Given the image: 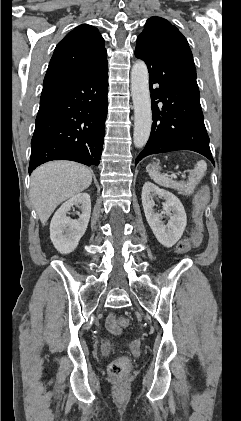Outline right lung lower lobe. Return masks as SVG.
I'll return each instance as SVG.
<instances>
[{
	"label": "right lung lower lobe",
	"instance_id": "right-lung-lower-lobe-1",
	"mask_svg": "<svg viewBox=\"0 0 241 421\" xmlns=\"http://www.w3.org/2000/svg\"><path fill=\"white\" fill-rule=\"evenodd\" d=\"M107 61L43 86L31 141L29 173L51 160L98 166L107 116Z\"/></svg>",
	"mask_w": 241,
	"mask_h": 421
}]
</instances>
